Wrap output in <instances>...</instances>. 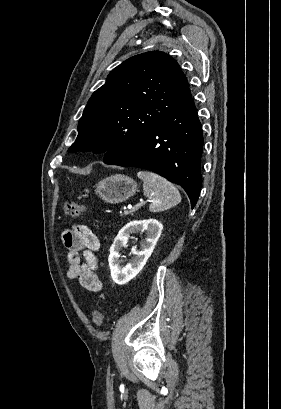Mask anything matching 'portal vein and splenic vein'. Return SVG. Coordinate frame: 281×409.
<instances>
[{
    "label": "portal vein and splenic vein",
    "instance_id": "portal-vein-and-splenic-vein-1",
    "mask_svg": "<svg viewBox=\"0 0 281 409\" xmlns=\"http://www.w3.org/2000/svg\"><path fill=\"white\" fill-rule=\"evenodd\" d=\"M139 200H145V198H144V197H141V198H139ZM125 216H126V217H131V216H132V213L130 212L129 209H126V210H125Z\"/></svg>",
    "mask_w": 281,
    "mask_h": 409
}]
</instances>
